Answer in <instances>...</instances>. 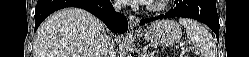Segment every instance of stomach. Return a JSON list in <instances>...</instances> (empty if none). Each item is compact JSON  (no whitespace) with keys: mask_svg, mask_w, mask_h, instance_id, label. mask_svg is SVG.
Masks as SVG:
<instances>
[{"mask_svg":"<svg viewBox=\"0 0 249 57\" xmlns=\"http://www.w3.org/2000/svg\"><path fill=\"white\" fill-rule=\"evenodd\" d=\"M142 36L146 41L155 45L172 46L177 43L182 36L181 26L172 19L160 20L151 23Z\"/></svg>","mask_w":249,"mask_h":57,"instance_id":"stomach-1","label":"stomach"}]
</instances>
